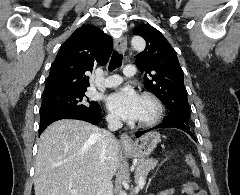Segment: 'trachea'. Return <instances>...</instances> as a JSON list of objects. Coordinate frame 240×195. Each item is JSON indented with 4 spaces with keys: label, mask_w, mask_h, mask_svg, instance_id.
<instances>
[{
    "label": "trachea",
    "mask_w": 240,
    "mask_h": 195,
    "mask_svg": "<svg viewBox=\"0 0 240 195\" xmlns=\"http://www.w3.org/2000/svg\"><path fill=\"white\" fill-rule=\"evenodd\" d=\"M122 59H123V55L121 53L114 52L110 59V63L108 67L109 71L112 72L113 70H115V68L121 67Z\"/></svg>",
    "instance_id": "3493384b"
}]
</instances>
